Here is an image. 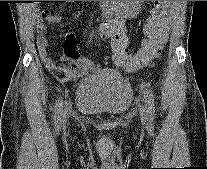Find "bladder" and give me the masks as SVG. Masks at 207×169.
Segmentation results:
<instances>
[{
  "mask_svg": "<svg viewBox=\"0 0 207 169\" xmlns=\"http://www.w3.org/2000/svg\"><path fill=\"white\" fill-rule=\"evenodd\" d=\"M133 89L118 73L103 70L80 81L76 88V108L85 114L119 116L130 106Z\"/></svg>",
  "mask_w": 207,
  "mask_h": 169,
  "instance_id": "bladder-1",
  "label": "bladder"
}]
</instances>
